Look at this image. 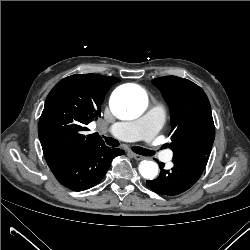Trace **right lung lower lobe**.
Returning <instances> with one entry per match:
<instances>
[{
    "instance_id": "1",
    "label": "right lung lower lobe",
    "mask_w": 250,
    "mask_h": 250,
    "mask_svg": "<svg viewBox=\"0 0 250 250\" xmlns=\"http://www.w3.org/2000/svg\"><path fill=\"white\" fill-rule=\"evenodd\" d=\"M123 150L105 144L87 148L76 156L48 163L55 178L73 191H83L95 186L108 171L115 156Z\"/></svg>"
}]
</instances>
